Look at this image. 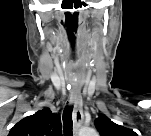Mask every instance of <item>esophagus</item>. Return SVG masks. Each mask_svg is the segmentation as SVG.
I'll return each mask as SVG.
<instances>
[{
    "instance_id": "1",
    "label": "esophagus",
    "mask_w": 151,
    "mask_h": 136,
    "mask_svg": "<svg viewBox=\"0 0 151 136\" xmlns=\"http://www.w3.org/2000/svg\"><path fill=\"white\" fill-rule=\"evenodd\" d=\"M70 103L73 104L74 106L73 109L74 133L77 134L83 123L84 115L80 91L74 87L70 91Z\"/></svg>"
}]
</instances>
